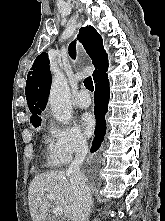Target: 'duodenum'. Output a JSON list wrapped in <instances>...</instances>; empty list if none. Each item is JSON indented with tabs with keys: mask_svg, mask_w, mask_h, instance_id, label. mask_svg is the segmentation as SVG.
Returning <instances> with one entry per match:
<instances>
[{
	"mask_svg": "<svg viewBox=\"0 0 165 221\" xmlns=\"http://www.w3.org/2000/svg\"><path fill=\"white\" fill-rule=\"evenodd\" d=\"M44 221H54V220L50 217H47Z\"/></svg>",
	"mask_w": 165,
	"mask_h": 221,
	"instance_id": "obj_1",
	"label": "duodenum"
}]
</instances>
